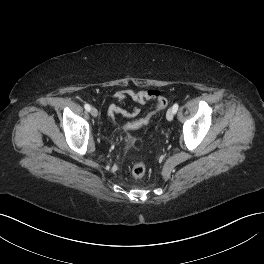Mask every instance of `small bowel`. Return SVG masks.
<instances>
[{"label":"small bowel","instance_id":"obj_1","mask_svg":"<svg viewBox=\"0 0 264 264\" xmlns=\"http://www.w3.org/2000/svg\"><path fill=\"white\" fill-rule=\"evenodd\" d=\"M161 92L157 89L139 90L123 89L114 93V98L117 100V104H112L109 107V115L113 117L115 114H121L125 117H135L139 114L140 109L134 107L130 110L125 109L121 104L128 97L132 101L138 104H144L147 101L157 99L160 97Z\"/></svg>","mask_w":264,"mask_h":264}]
</instances>
